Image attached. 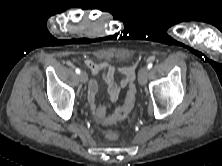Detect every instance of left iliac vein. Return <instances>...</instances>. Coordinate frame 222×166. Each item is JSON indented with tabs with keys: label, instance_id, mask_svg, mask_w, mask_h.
Listing matches in <instances>:
<instances>
[{
	"label": "left iliac vein",
	"instance_id": "obj_1",
	"mask_svg": "<svg viewBox=\"0 0 222 166\" xmlns=\"http://www.w3.org/2000/svg\"><path fill=\"white\" fill-rule=\"evenodd\" d=\"M149 70L147 67H142L138 73V81L141 85H145L147 82Z\"/></svg>",
	"mask_w": 222,
	"mask_h": 166
}]
</instances>
